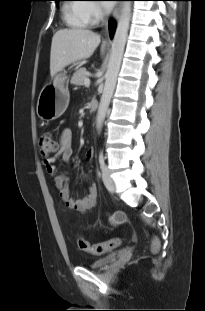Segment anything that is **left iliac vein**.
<instances>
[{"label": "left iliac vein", "instance_id": "obj_1", "mask_svg": "<svg viewBox=\"0 0 205 311\" xmlns=\"http://www.w3.org/2000/svg\"><path fill=\"white\" fill-rule=\"evenodd\" d=\"M102 180L104 182L105 187L111 193L115 191V182L113 178L110 176L109 170L105 167L102 174Z\"/></svg>", "mask_w": 205, "mask_h": 311}]
</instances>
